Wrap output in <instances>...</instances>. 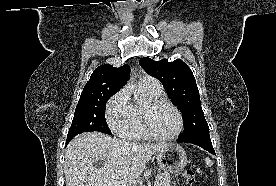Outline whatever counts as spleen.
I'll return each instance as SVG.
<instances>
[{
  "mask_svg": "<svg viewBox=\"0 0 276 186\" xmlns=\"http://www.w3.org/2000/svg\"><path fill=\"white\" fill-rule=\"evenodd\" d=\"M205 162H206V164H207L208 166H210V167L213 165V161H212L211 159H209L208 157L205 158ZM211 172H213V170H211Z\"/></svg>",
  "mask_w": 276,
  "mask_h": 186,
  "instance_id": "1",
  "label": "spleen"
}]
</instances>
